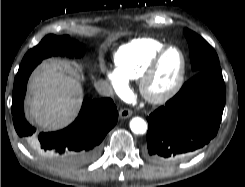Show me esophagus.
<instances>
[{"instance_id":"esophagus-1","label":"esophagus","mask_w":245,"mask_h":187,"mask_svg":"<svg viewBox=\"0 0 245 187\" xmlns=\"http://www.w3.org/2000/svg\"><path fill=\"white\" fill-rule=\"evenodd\" d=\"M132 110L128 109V108H123L119 111V116L122 119H126L129 118L132 115Z\"/></svg>"}]
</instances>
